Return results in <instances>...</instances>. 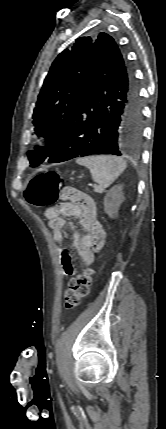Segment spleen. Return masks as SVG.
<instances>
[{"label": "spleen", "instance_id": "spleen-1", "mask_svg": "<svg viewBox=\"0 0 166 429\" xmlns=\"http://www.w3.org/2000/svg\"><path fill=\"white\" fill-rule=\"evenodd\" d=\"M76 162L88 168L92 179L102 188L109 187L127 167L125 160L112 155L88 156Z\"/></svg>", "mask_w": 166, "mask_h": 429}]
</instances>
